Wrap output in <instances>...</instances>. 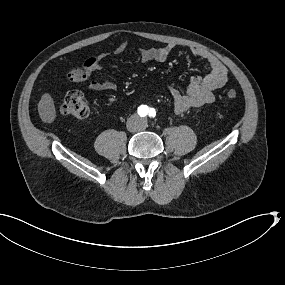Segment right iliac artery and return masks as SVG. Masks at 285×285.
<instances>
[{"mask_svg": "<svg viewBox=\"0 0 285 285\" xmlns=\"http://www.w3.org/2000/svg\"><path fill=\"white\" fill-rule=\"evenodd\" d=\"M148 108L147 107H141L138 113L143 114L144 116L147 114Z\"/></svg>", "mask_w": 285, "mask_h": 285, "instance_id": "82829eb1", "label": "right iliac artery"}]
</instances>
